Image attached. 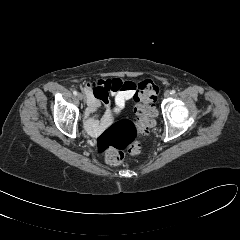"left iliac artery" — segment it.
<instances>
[{"instance_id":"1","label":"left iliac artery","mask_w":240,"mask_h":240,"mask_svg":"<svg viewBox=\"0 0 240 240\" xmlns=\"http://www.w3.org/2000/svg\"><path fill=\"white\" fill-rule=\"evenodd\" d=\"M170 93H171V94H175V93H176V90L173 89V90L170 91Z\"/></svg>"}]
</instances>
